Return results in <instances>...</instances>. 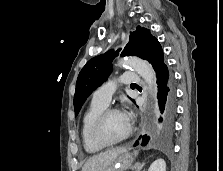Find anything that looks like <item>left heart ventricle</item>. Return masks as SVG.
Returning <instances> with one entry per match:
<instances>
[{
  "label": "left heart ventricle",
  "instance_id": "obj_1",
  "mask_svg": "<svg viewBox=\"0 0 223 171\" xmlns=\"http://www.w3.org/2000/svg\"><path fill=\"white\" fill-rule=\"evenodd\" d=\"M129 128V121L122 113H112L104 121L102 126L103 136L110 141L124 136Z\"/></svg>",
  "mask_w": 223,
  "mask_h": 171
}]
</instances>
